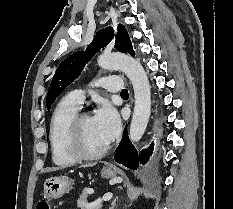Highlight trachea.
<instances>
[{
    "mask_svg": "<svg viewBox=\"0 0 233 209\" xmlns=\"http://www.w3.org/2000/svg\"><path fill=\"white\" fill-rule=\"evenodd\" d=\"M120 94L121 95H128V90L127 89H123Z\"/></svg>",
    "mask_w": 233,
    "mask_h": 209,
    "instance_id": "obj_1",
    "label": "trachea"
}]
</instances>
